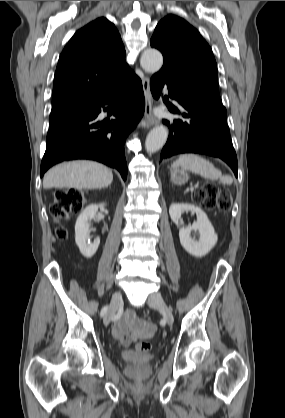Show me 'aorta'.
Listing matches in <instances>:
<instances>
[{"label": "aorta", "instance_id": "obj_1", "mask_svg": "<svg viewBox=\"0 0 285 418\" xmlns=\"http://www.w3.org/2000/svg\"><path fill=\"white\" fill-rule=\"evenodd\" d=\"M163 64L162 54L155 49H147L143 52L140 65L149 73H156ZM168 138V130L165 126H157L153 128L148 134L145 141V148L147 152L154 153L160 150L166 143Z\"/></svg>", "mask_w": 285, "mask_h": 418}]
</instances>
